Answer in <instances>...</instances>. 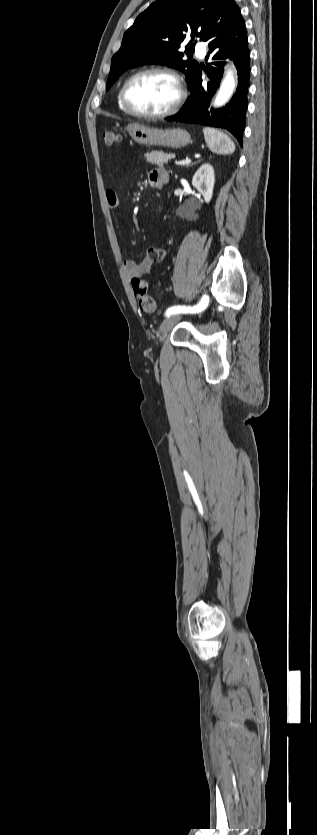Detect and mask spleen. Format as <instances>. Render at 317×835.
I'll return each mask as SVG.
<instances>
[{"instance_id": "spleen-1", "label": "spleen", "mask_w": 317, "mask_h": 835, "mask_svg": "<svg viewBox=\"0 0 317 835\" xmlns=\"http://www.w3.org/2000/svg\"><path fill=\"white\" fill-rule=\"evenodd\" d=\"M204 139L209 149L216 154H232L235 151L234 142L222 131L205 127L203 129Z\"/></svg>"}]
</instances>
